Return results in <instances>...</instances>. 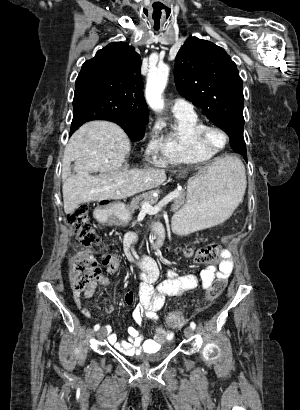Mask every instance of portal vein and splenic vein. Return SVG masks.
<instances>
[{
	"instance_id": "1",
	"label": "portal vein and splenic vein",
	"mask_w": 300,
	"mask_h": 410,
	"mask_svg": "<svg viewBox=\"0 0 300 410\" xmlns=\"http://www.w3.org/2000/svg\"><path fill=\"white\" fill-rule=\"evenodd\" d=\"M180 195L179 191H173L166 195L157 205L152 206L149 202H143L142 209L147 213L155 214L159 212L162 207L166 206L172 199Z\"/></svg>"
}]
</instances>
